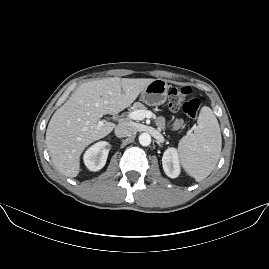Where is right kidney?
<instances>
[{"label": "right kidney", "instance_id": "ca27d5eb", "mask_svg": "<svg viewBox=\"0 0 269 269\" xmlns=\"http://www.w3.org/2000/svg\"><path fill=\"white\" fill-rule=\"evenodd\" d=\"M110 149L111 145L106 141L95 143L84 153V164L90 171L102 169L106 164Z\"/></svg>", "mask_w": 269, "mask_h": 269}]
</instances>
